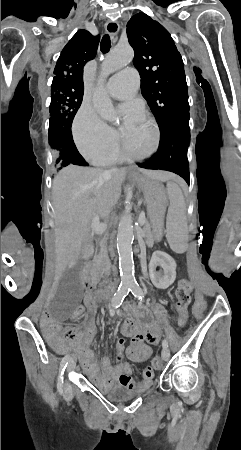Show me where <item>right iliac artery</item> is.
<instances>
[{"label": "right iliac artery", "mask_w": 241, "mask_h": 450, "mask_svg": "<svg viewBox=\"0 0 241 450\" xmlns=\"http://www.w3.org/2000/svg\"><path fill=\"white\" fill-rule=\"evenodd\" d=\"M129 292H130L129 286H122L121 288H119L113 296L112 306L114 308H118L122 304L124 298L128 295ZM69 358H70V356L67 355L61 361L60 372H59L58 382H57V389L60 393L63 391V374H64V370L68 364Z\"/></svg>", "instance_id": "obj_1"}]
</instances>
